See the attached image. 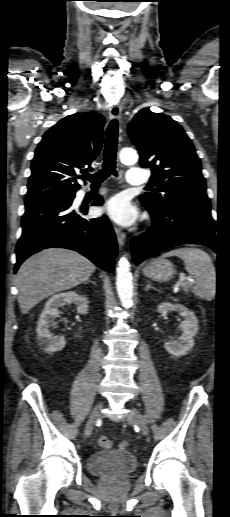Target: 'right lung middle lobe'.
I'll return each mask as SVG.
<instances>
[{"mask_svg": "<svg viewBox=\"0 0 230 517\" xmlns=\"http://www.w3.org/2000/svg\"><path fill=\"white\" fill-rule=\"evenodd\" d=\"M73 198H74V194H69V195H61V196L50 197V198H47V199H44V200H41V201L69 202ZM41 201H39V202H41Z\"/></svg>", "mask_w": 230, "mask_h": 517, "instance_id": "right-lung-middle-lobe-1", "label": "right lung middle lobe"}]
</instances>
